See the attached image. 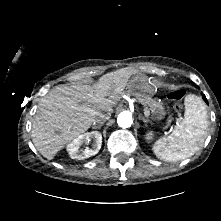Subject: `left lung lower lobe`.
Wrapping results in <instances>:
<instances>
[{
    "instance_id": "obj_1",
    "label": "left lung lower lobe",
    "mask_w": 221,
    "mask_h": 221,
    "mask_svg": "<svg viewBox=\"0 0 221 221\" xmlns=\"http://www.w3.org/2000/svg\"><path fill=\"white\" fill-rule=\"evenodd\" d=\"M203 99H204V101H205L206 103H208V101H207L205 95H203Z\"/></svg>"
}]
</instances>
